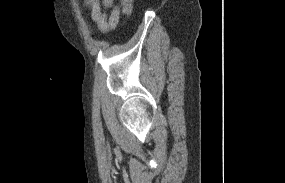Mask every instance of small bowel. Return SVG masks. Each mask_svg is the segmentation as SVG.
Segmentation results:
<instances>
[{"label": "small bowel", "mask_w": 285, "mask_h": 183, "mask_svg": "<svg viewBox=\"0 0 285 183\" xmlns=\"http://www.w3.org/2000/svg\"><path fill=\"white\" fill-rule=\"evenodd\" d=\"M85 5L90 9V16L99 30L110 31L119 22L121 11L114 5V0H84ZM110 13L107 14V10Z\"/></svg>", "instance_id": "small-bowel-1"}]
</instances>
